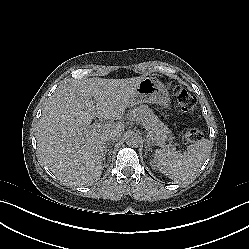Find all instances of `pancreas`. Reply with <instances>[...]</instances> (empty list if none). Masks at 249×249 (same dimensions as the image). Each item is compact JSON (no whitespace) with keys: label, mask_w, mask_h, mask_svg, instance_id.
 Returning <instances> with one entry per match:
<instances>
[{"label":"pancreas","mask_w":249,"mask_h":249,"mask_svg":"<svg viewBox=\"0 0 249 249\" xmlns=\"http://www.w3.org/2000/svg\"><path fill=\"white\" fill-rule=\"evenodd\" d=\"M128 118L141 124L149 132L151 139L163 143L168 139L166 126L147 105L136 106L128 112Z\"/></svg>","instance_id":"1"}]
</instances>
